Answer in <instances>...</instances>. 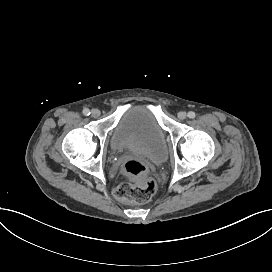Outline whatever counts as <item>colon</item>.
Listing matches in <instances>:
<instances>
[{
    "label": "colon",
    "instance_id": "colon-1",
    "mask_svg": "<svg viewBox=\"0 0 272 272\" xmlns=\"http://www.w3.org/2000/svg\"><path fill=\"white\" fill-rule=\"evenodd\" d=\"M120 171L127 182L117 187L114 191L116 195H122L136 203H145L157 191L156 180L147 176L148 166L145 161L127 160L122 163Z\"/></svg>",
    "mask_w": 272,
    "mask_h": 272
}]
</instances>
